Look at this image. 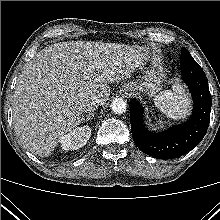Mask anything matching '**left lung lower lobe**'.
Listing matches in <instances>:
<instances>
[{
  "label": "left lung lower lobe",
  "mask_w": 220,
  "mask_h": 220,
  "mask_svg": "<svg viewBox=\"0 0 220 220\" xmlns=\"http://www.w3.org/2000/svg\"><path fill=\"white\" fill-rule=\"evenodd\" d=\"M181 52L183 80L189 86L194 101L191 118L162 133L148 132L143 124L142 107L136 100L130 102V121L134 143L145 154L157 159H173L197 146L205 136L211 110L208 80L202 68L185 49Z\"/></svg>",
  "instance_id": "1"
}]
</instances>
